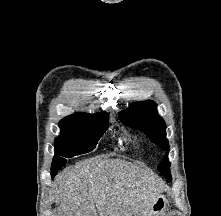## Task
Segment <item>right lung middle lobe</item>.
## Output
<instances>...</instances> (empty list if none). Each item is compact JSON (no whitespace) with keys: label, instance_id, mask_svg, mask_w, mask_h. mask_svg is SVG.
<instances>
[{"label":"right lung middle lobe","instance_id":"dd1d6c3e","mask_svg":"<svg viewBox=\"0 0 221 216\" xmlns=\"http://www.w3.org/2000/svg\"><path fill=\"white\" fill-rule=\"evenodd\" d=\"M108 117L109 114L80 118L59 126L61 132L55 139L51 175L54 176L66 164V158L88 153L96 147L98 140L109 127Z\"/></svg>","mask_w":221,"mask_h":216}]
</instances>
